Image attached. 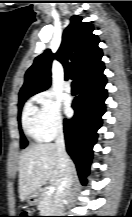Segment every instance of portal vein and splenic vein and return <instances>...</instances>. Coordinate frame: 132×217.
Instances as JSON below:
<instances>
[{
    "label": "portal vein and splenic vein",
    "mask_w": 132,
    "mask_h": 217,
    "mask_svg": "<svg viewBox=\"0 0 132 217\" xmlns=\"http://www.w3.org/2000/svg\"><path fill=\"white\" fill-rule=\"evenodd\" d=\"M55 192V187L54 186H50L49 187V193H54Z\"/></svg>",
    "instance_id": "18ae733b"
}]
</instances>
